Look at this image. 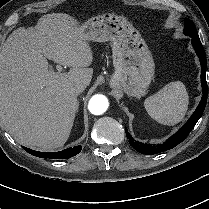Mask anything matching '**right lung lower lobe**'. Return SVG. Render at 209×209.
<instances>
[{"label": "right lung lower lobe", "mask_w": 209, "mask_h": 209, "mask_svg": "<svg viewBox=\"0 0 209 209\" xmlns=\"http://www.w3.org/2000/svg\"><path fill=\"white\" fill-rule=\"evenodd\" d=\"M25 151L30 153L31 155H34L36 157H41V158H49V159H67L75 156L76 154L80 153L81 151V146H75L73 148H68L63 151L59 152H50V153H44V152H39L35 150H31L29 148L23 147Z\"/></svg>", "instance_id": "obj_1"}]
</instances>
